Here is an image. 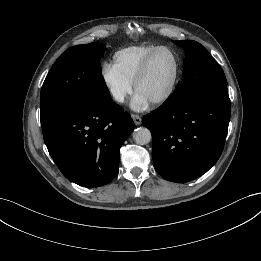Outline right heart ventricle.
Segmentation results:
<instances>
[{"mask_svg":"<svg viewBox=\"0 0 261 261\" xmlns=\"http://www.w3.org/2000/svg\"><path fill=\"white\" fill-rule=\"evenodd\" d=\"M156 45H136L122 48L113 55L112 65L132 83L135 80L144 60L155 50Z\"/></svg>","mask_w":261,"mask_h":261,"instance_id":"right-heart-ventricle-1","label":"right heart ventricle"}]
</instances>
